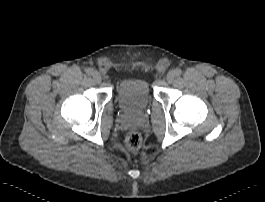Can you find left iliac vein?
<instances>
[{
    "label": "left iliac vein",
    "instance_id": "obj_1",
    "mask_svg": "<svg viewBox=\"0 0 265 202\" xmlns=\"http://www.w3.org/2000/svg\"><path fill=\"white\" fill-rule=\"evenodd\" d=\"M176 77V73L174 70H170L168 73H167V81L169 83L173 82V80L175 79Z\"/></svg>",
    "mask_w": 265,
    "mask_h": 202
}]
</instances>
